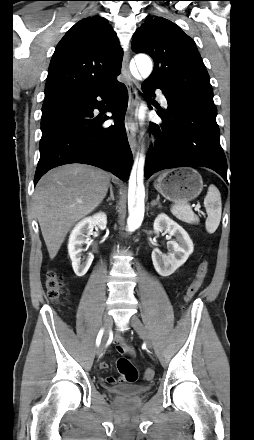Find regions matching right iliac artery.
<instances>
[{
	"label": "right iliac artery",
	"instance_id": "82829eb1",
	"mask_svg": "<svg viewBox=\"0 0 254 440\" xmlns=\"http://www.w3.org/2000/svg\"><path fill=\"white\" fill-rule=\"evenodd\" d=\"M103 335V330L101 329L97 335V339H96V345L99 346L100 342H101V338Z\"/></svg>",
	"mask_w": 254,
	"mask_h": 440
}]
</instances>
